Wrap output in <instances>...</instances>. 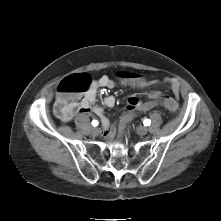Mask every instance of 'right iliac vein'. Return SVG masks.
<instances>
[{"label": "right iliac vein", "mask_w": 221, "mask_h": 221, "mask_svg": "<svg viewBox=\"0 0 221 221\" xmlns=\"http://www.w3.org/2000/svg\"><path fill=\"white\" fill-rule=\"evenodd\" d=\"M99 133H100V129L99 128L94 127V128L91 129V134L92 135L97 136V135H99Z\"/></svg>", "instance_id": "right-iliac-vein-1"}]
</instances>
